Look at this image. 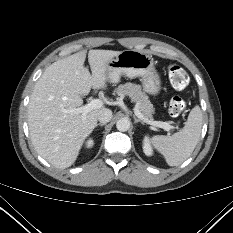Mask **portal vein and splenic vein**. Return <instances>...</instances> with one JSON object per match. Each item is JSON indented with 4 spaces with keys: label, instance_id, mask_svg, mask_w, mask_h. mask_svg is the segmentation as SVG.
<instances>
[{
    "label": "portal vein and splenic vein",
    "instance_id": "obj_1",
    "mask_svg": "<svg viewBox=\"0 0 233 233\" xmlns=\"http://www.w3.org/2000/svg\"><path fill=\"white\" fill-rule=\"evenodd\" d=\"M103 104L104 103L101 99H93L88 104L81 106V107H78V108L71 109L68 112L81 113L83 115V117H85L87 113H89L93 109H97V108L102 107ZM133 110H134L135 115L138 118H140L141 120H143L145 123H147L149 125L162 128L166 131H170L172 129V126L167 122L153 121V120H149V119L145 118L137 106H135Z\"/></svg>",
    "mask_w": 233,
    "mask_h": 233
}]
</instances>
